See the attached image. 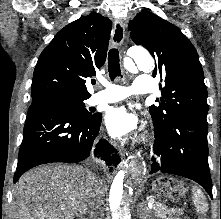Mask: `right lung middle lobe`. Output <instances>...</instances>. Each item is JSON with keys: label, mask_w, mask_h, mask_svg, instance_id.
I'll return each mask as SVG.
<instances>
[{"label": "right lung middle lobe", "mask_w": 221, "mask_h": 219, "mask_svg": "<svg viewBox=\"0 0 221 219\" xmlns=\"http://www.w3.org/2000/svg\"><path fill=\"white\" fill-rule=\"evenodd\" d=\"M84 100L86 99L52 98L33 102L32 105L63 108L71 111L79 118L88 119L93 117V114L88 112V110L85 108Z\"/></svg>", "instance_id": "1"}]
</instances>
